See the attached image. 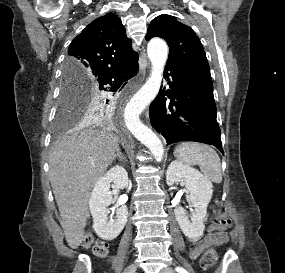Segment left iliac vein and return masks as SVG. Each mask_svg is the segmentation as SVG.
Returning <instances> with one entry per match:
<instances>
[{
    "instance_id": "left-iliac-vein-1",
    "label": "left iliac vein",
    "mask_w": 285,
    "mask_h": 273,
    "mask_svg": "<svg viewBox=\"0 0 285 273\" xmlns=\"http://www.w3.org/2000/svg\"><path fill=\"white\" fill-rule=\"evenodd\" d=\"M161 273H175L171 267H165L161 270Z\"/></svg>"
}]
</instances>
